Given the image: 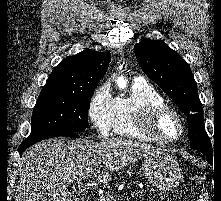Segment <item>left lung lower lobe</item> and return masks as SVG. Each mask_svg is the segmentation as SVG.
Returning <instances> with one entry per match:
<instances>
[{
    "mask_svg": "<svg viewBox=\"0 0 221 201\" xmlns=\"http://www.w3.org/2000/svg\"><path fill=\"white\" fill-rule=\"evenodd\" d=\"M206 156V155H205ZM207 157V161L210 163V164H213V155L212 156H206Z\"/></svg>",
    "mask_w": 221,
    "mask_h": 201,
    "instance_id": "left-lung-lower-lobe-1",
    "label": "left lung lower lobe"
}]
</instances>
